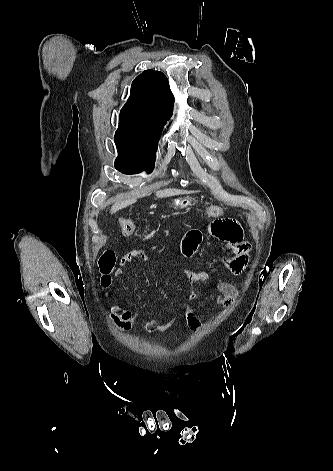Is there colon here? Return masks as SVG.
Instances as JSON below:
<instances>
[{"label":"colon","mask_w":333,"mask_h":471,"mask_svg":"<svg viewBox=\"0 0 333 471\" xmlns=\"http://www.w3.org/2000/svg\"><path fill=\"white\" fill-rule=\"evenodd\" d=\"M207 214L211 217H221L223 215V208L217 205L210 206L207 208ZM119 225L125 236H132L136 231L135 222L129 218H120ZM115 262L116 256L113 251H106L100 256L98 266L102 273L101 283L103 286H108L110 284L109 274L111 273Z\"/></svg>","instance_id":"colon-1"}]
</instances>
